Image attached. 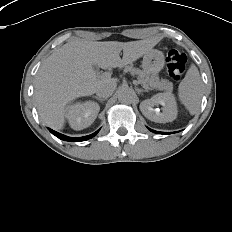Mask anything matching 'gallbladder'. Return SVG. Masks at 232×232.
Listing matches in <instances>:
<instances>
[{"mask_svg":"<svg viewBox=\"0 0 232 232\" xmlns=\"http://www.w3.org/2000/svg\"><path fill=\"white\" fill-rule=\"evenodd\" d=\"M93 68H94L95 70H97V69H98V66H97V65H93Z\"/></svg>","mask_w":232,"mask_h":232,"instance_id":"1","label":"gallbladder"}]
</instances>
